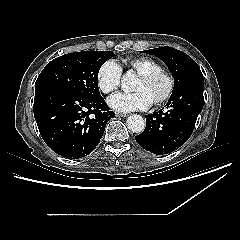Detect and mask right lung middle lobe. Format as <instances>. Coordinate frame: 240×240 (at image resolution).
Masks as SVG:
<instances>
[{"mask_svg":"<svg viewBox=\"0 0 240 240\" xmlns=\"http://www.w3.org/2000/svg\"><path fill=\"white\" fill-rule=\"evenodd\" d=\"M113 56L110 51H84L57 57L42 70L35 89L62 88L89 97L100 95L98 72Z\"/></svg>","mask_w":240,"mask_h":240,"instance_id":"1","label":"right lung middle lobe"}]
</instances>
